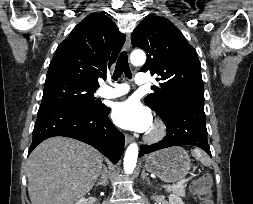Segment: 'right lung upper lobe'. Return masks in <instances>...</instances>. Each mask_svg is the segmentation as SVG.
<instances>
[{
  "instance_id": "1",
  "label": "right lung upper lobe",
  "mask_w": 253,
  "mask_h": 204,
  "mask_svg": "<svg viewBox=\"0 0 253 204\" xmlns=\"http://www.w3.org/2000/svg\"><path fill=\"white\" fill-rule=\"evenodd\" d=\"M125 38L106 15H88L57 47L45 83L72 82L98 88V78L116 61Z\"/></svg>"
}]
</instances>
